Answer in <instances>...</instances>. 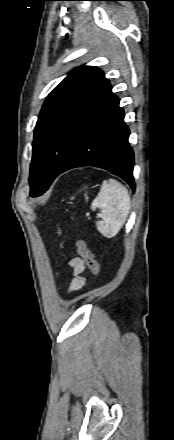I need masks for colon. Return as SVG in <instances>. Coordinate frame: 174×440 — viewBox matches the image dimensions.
Instances as JSON below:
<instances>
[{
    "label": "colon",
    "mask_w": 174,
    "mask_h": 440,
    "mask_svg": "<svg viewBox=\"0 0 174 440\" xmlns=\"http://www.w3.org/2000/svg\"><path fill=\"white\" fill-rule=\"evenodd\" d=\"M75 245L78 252V255L86 265V267L96 276L99 277L101 275V266L96 261L94 255L90 252L87 244L82 238L75 239Z\"/></svg>",
    "instance_id": "colon-1"
}]
</instances>
